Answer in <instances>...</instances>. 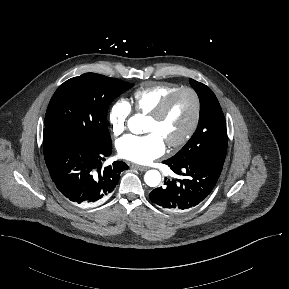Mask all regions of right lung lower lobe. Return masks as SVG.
I'll list each match as a JSON object with an SVG mask.
<instances>
[{
	"label": "right lung lower lobe",
	"mask_w": 289,
	"mask_h": 289,
	"mask_svg": "<svg viewBox=\"0 0 289 289\" xmlns=\"http://www.w3.org/2000/svg\"><path fill=\"white\" fill-rule=\"evenodd\" d=\"M112 153L111 144L103 148L68 142L44 150L45 162L58 190L76 204L100 202L118 184L128 166L121 161L102 167Z\"/></svg>",
	"instance_id": "98d812e1"
}]
</instances>
